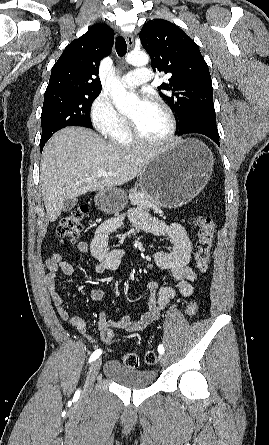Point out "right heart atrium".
I'll return each instance as SVG.
<instances>
[{
    "instance_id": "right-heart-atrium-1",
    "label": "right heart atrium",
    "mask_w": 269,
    "mask_h": 445,
    "mask_svg": "<svg viewBox=\"0 0 269 445\" xmlns=\"http://www.w3.org/2000/svg\"><path fill=\"white\" fill-rule=\"evenodd\" d=\"M90 119L94 128L108 134L120 126L125 118L116 110L110 96L100 93L91 103Z\"/></svg>"
}]
</instances>
